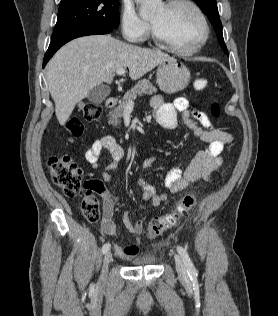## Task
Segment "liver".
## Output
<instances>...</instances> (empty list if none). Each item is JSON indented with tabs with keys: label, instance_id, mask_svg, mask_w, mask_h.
I'll use <instances>...</instances> for the list:
<instances>
[{
	"label": "liver",
	"instance_id": "liver-1",
	"mask_svg": "<svg viewBox=\"0 0 278 316\" xmlns=\"http://www.w3.org/2000/svg\"><path fill=\"white\" fill-rule=\"evenodd\" d=\"M171 57L157 50L127 44L111 35H92L64 45L47 65L46 79L61 125L75 105L103 82L112 83L117 69L128 68L137 80Z\"/></svg>",
	"mask_w": 278,
	"mask_h": 316
}]
</instances>
